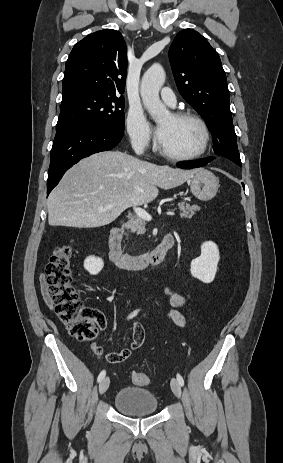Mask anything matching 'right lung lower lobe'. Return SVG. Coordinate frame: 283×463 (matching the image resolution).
Instances as JSON below:
<instances>
[{
    "instance_id": "98d812e1",
    "label": "right lung lower lobe",
    "mask_w": 283,
    "mask_h": 463,
    "mask_svg": "<svg viewBox=\"0 0 283 463\" xmlns=\"http://www.w3.org/2000/svg\"><path fill=\"white\" fill-rule=\"evenodd\" d=\"M123 134L98 125H83L56 132L50 155L47 195L70 167L84 157L114 148Z\"/></svg>"
}]
</instances>
